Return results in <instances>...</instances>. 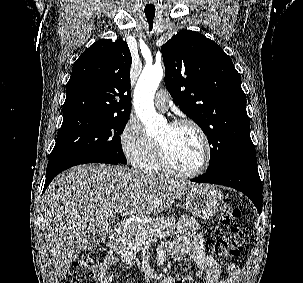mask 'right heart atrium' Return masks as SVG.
<instances>
[{
	"instance_id": "d8ad5b80",
	"label": "right heart atrium",
	"mask_w": 303,
	"mask_h": 283,
	"mask_svg": "<svg viewBox=\"0 0 303 283\" xmlns=\"http://www.w3.org/2000/svg\"><path fill=\"white\" fill-rule=\"evenodd\" d=\"M120 145L125 158L133 166H141L156 148L153 138L149 137L140 122L129 118L120 134Z\"/></svg>"
}]
</instances>
